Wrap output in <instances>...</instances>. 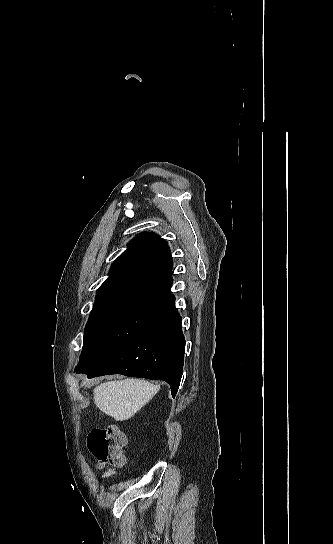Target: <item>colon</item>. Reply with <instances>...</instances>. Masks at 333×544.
<instances>
[{
    "label": "colon",
    "instance_id": "5ec220e1",
    "mask_svg": "<svg viewBox=\"0 0 333 544\" xmlns=\"http://www.w3.org/2000/svg\"><path fill=\"white\" fill-rule=\"evenodd\" d=\"M127 439L117 426L94 429L88 436V449L101 467L120 468L126 459L123 450ZM112 471H108L110 475Z\"/></svg>",
    "mask_w": 333,
    "mask_h": 544
}]
</instances>
